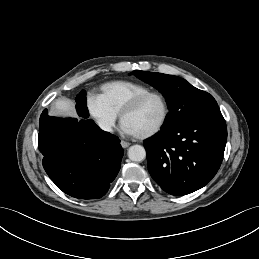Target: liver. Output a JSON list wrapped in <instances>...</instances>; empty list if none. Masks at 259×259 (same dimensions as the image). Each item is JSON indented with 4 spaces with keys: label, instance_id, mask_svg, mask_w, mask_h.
Listing matches in <instances>:
<instances>
[{
    "label": "liver",
    "instance_id": "liver-1",
    "mask_svg": "<svg viewBox=\"0 0 259 259\" xmlns=\"http://www.w3.org/2000/svg\"><path fill=\"white\" fill-rule=\"evenodd\" d=\"M54 109L60 113L74 116V104L69 99H59L54 104Z\"/></svg>",
    "mask_w": 259,
    "mask_h": 259
}]
</instances>
